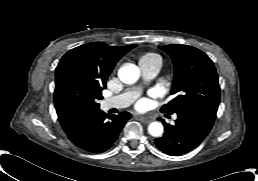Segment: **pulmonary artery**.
<instances>
[{
	"label": "pulmonary artery",
	"mask_w": 258,
	"mask_h": 181,
	"mask_svg": "<svg viewBox=\"0 0 258 181\" xmlns=\"http://www.w3.org/2000/svg\"><path fill=\"white\" fill-rule=\"evenodd\" d=\"M160 68V62H156L147 66H141L143 76L146 80H151L155 78L159 73ZM140 92V86L128 88L119 95L103 100L101 103V107L103 110L127 107L140 95Z\"/></svg>",
	"instance_id": "pulmonary-artery-1"
}]
</instances>
